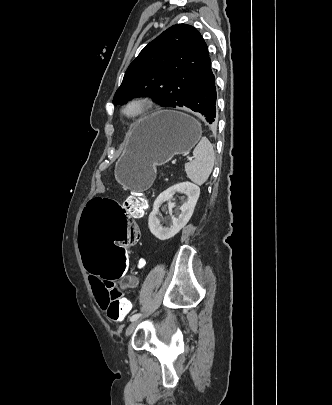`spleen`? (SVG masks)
Instances as JSON below:
<instances>
[{
  "instance_id": "spleen-1",
  "label": "spleen",
  "mask_w": 332,
  "mask_h": 405,
  "mask_svg": "<svg viewBox=\"0 0 332 405\" xmlns=\"http://www.w3.org/2000/svg\"><path fill=\"white\" fill-rule=\"evenodd\" d=\"M195 159L185 165L187 177L195 184H204L212 172L215 160L214 148L211 142L202 137L193 150Z\"/></svg>"
}]
</instances>
